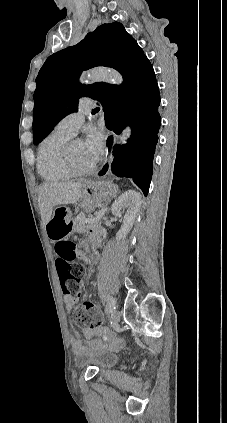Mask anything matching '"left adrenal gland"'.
Returning <instances> with one entry per match:
<instances>
[{"label": "left adrenal gland", "instance_id": "obj_1", "mask_svg": "<svg viewBox=\"0 0 227 423\" xmlns=\"http://www.w3.org/2000/svg\"><path fill=\"white\" fill-rule=\"evenodd\" d=\"M106 213H109L108 204H105V215H106Z\"/></svg>", "mask_w": 227, "mask_h": 423}]
</instances>
